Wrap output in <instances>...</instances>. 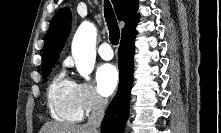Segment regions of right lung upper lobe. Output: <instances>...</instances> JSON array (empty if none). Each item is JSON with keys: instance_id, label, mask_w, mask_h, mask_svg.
<instances>
[{"instance_id": "1", "label": "right lung upper lobe", "mask_w": 221, "mask_h": 133, "mask_svg": "<svg viewBox=\"0 0 221 133\" xmlns=\"http://www.w3.org/2000/svg\"><path fill=\"white\" fill-rule=\"evenodd\" d=\"M117 18L125 22L122 37L136 32L135 26L138 21L137 0H112ZM71 12L68 8L59 10L50 23L43 51V66L55 63L59 58L66 38L70 32Z\"/></svg>"}]
</instances>
